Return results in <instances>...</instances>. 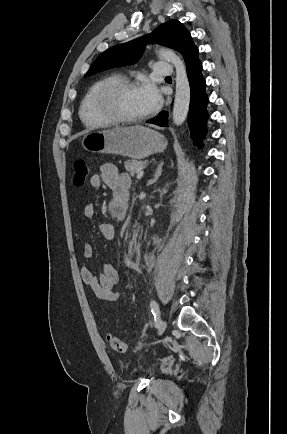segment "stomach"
Wrapping results in <instances>:
<instances>
[{"label": "stomach", "mask_w": 287, "mask_h": 434, "mask_svg": "<svg viewBox=\"0 0 287 434\" xmlns=\"http://www.w3.org/2000/svg\"><path fill=\"white\" fill-rule=\"evenodd\" d=\"M81 145L89 152L116 154L137 160L164 151L167 140L152 129L134 126L87 133Z\"/></svg>", "instance_id": "obj_1"}]
</instances>
